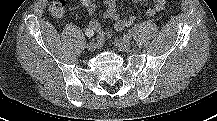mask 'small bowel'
Masks as SVG:
<instances>
[{"label": "small bowel", "mask_w": 217, "mask_h": 121, "mask_svg": "<svg viewBox=\"0 0 217 121\" xmlns=\"http://www.w3.org/2000/svg\"><path fill=\"white\" fill-rule=\"evenodd\" d=\"M136 3L145 0H132ZM80 3L85 7L89 15L94 16L97 10L96 0H80ZM166 0H153V4L147 9L149 16H154L156 13L165 8ZM104 12L103 17L114 22V31L118 32L132 25L135 20L134 16L122 17L117 11V0H103ZM89 28L98 34V40L103 41L113 36V32L103 31L101 23L92 18L89 22Z\"/></svg>", "instance_id": "small-bowel-1"}]
</instances>
